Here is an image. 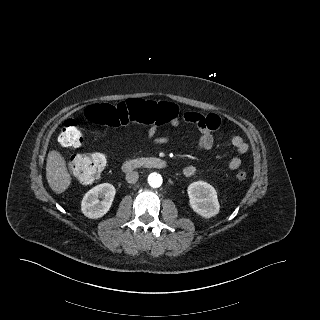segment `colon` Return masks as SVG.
Returning a JSON list of instances; mask_svg holds the SVG:
<instances>
[{
	"instance_id": "colon-1",
	"label": "colon",
	"mask_w": 320,
	"mask_h": 320,
	"mask_svg": "<svg viewBox=\"0 0 320 320\" xmlns=\"http://www.w3.org/2000/svg\"><path fill=\"white\" fill-rule=\"evenodd\" d=\"M177 114L176 107L170 103H155L142 99H129L117 105L97 103L88 106L85 118L96 125L119 127L129 121L148 125H160ZM59 143L66 148H76L82 143V134L77 121L69 119L64 123L59 135ZM107 165V157L103 153H85L73 155L68 166L73 175L83 183L95 181ZM246 172L239 171L236 178L245 180Z\"/></svg>"
}]
</instances>
